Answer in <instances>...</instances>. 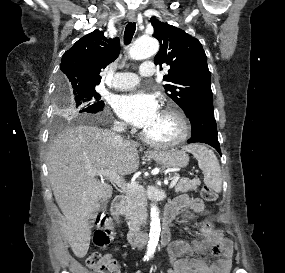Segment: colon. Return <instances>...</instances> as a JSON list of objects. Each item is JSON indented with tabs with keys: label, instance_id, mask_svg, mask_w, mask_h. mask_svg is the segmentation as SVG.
<instances>
[{
	"label": "colon",
	"instance_id": "colon-1",
	"mask_svg": "<svg viewBox=\"0 0 285 273\" xmlns=\"http://www.w3.org/2000/svg\"><path fill=\"white\" fill-rule=\"evenodd\" d=\"M202 197L206 201H216L217 192L210 186H204L202 188ZM113 238V231L111 226L106 220L101 218L99 225L96 228L93 235L94 245L98 248H105L109 245ZM86 264L90 269L91 273H117V264L109 256L100 252H93L87 256Z\"/></svg>",
	"mask_w": 285,
	"mask_h": 273
}]
</instances>
